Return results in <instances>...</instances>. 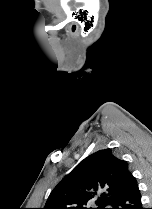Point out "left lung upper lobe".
<instances>
[{"instance_id":"left-lung-upper-lobe-1","label":"left lung upper lobe","mask_w":152,"mask_h":209,"mask_svg":"<svg viewBox=\"0 0 152 209\" xmlns=\"http://www.w3.org/2000/svg\"><path fill=\"white\" fill-rule=\"evenodd\" d=\"M132 174L111 149L97 151L79 163L53 189L44 209H105L120 195Z\"/></svg>"}]
</instances>
